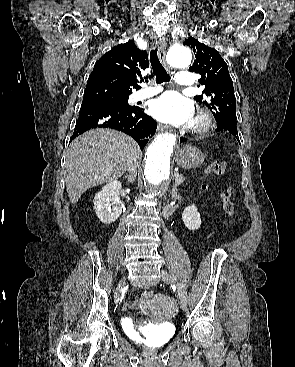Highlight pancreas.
Returning a JSON list of instances; mask_svg holds the SVG:
<instances>
[{
	"instance_id": "1",
	"label": "pancreas",
	"mask_w": 295,
	"mask_h": 367,
	"mask_svg": "<svg viewBox=\"0 0 295 367\" xmlns=\"http://www.w3.org/2000/svg\"><path fill=\"white\" fill-rule=\"evenodd\" d=\"M184 180H185V178L182 175L175 176V184L176 185H179V184L183 183Z\"/></svg>"
}]
</instances>
